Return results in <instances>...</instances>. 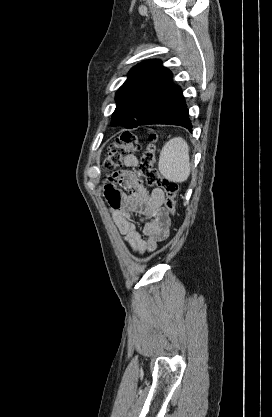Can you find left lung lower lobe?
Wrapping results in <instances>:
<instances>
[{"label":"left lung lower lobe","instance_id":"0a47b994","mask_svg":"<svg viewBox=\"0 0 272 417\" xmlns=\"http://www.w3.org/2000/svg\"><path fill=\"white\" fill-rule=\"evenodd\" d=\"M171 124L192 130L188 109L181 88H175L163 99L158 108L141 125Z\"/></svg>","mask_w":272,"mask_h":417}]
</instances>
